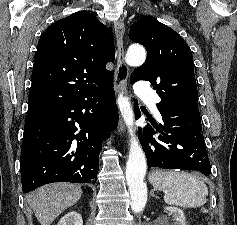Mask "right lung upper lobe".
Masks as SVG:
<instances>
[{"mask_svg": "<svg viewBox=\"0 0 237 225\" xmlns=\"http://www.w3.org/2000/svg\"><path fill=\"white\" fill-rule=\"evenodd\" d=\"M114 37L94 14L79 11L49 26L34 58L28 109L64 103L112 83Z\"/></svg>", "mask_w": 237, "mask_h": 225, "instance_id": "cb5924a9", "label": "right lung upper lobe"}]
</instances>
